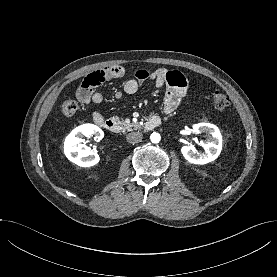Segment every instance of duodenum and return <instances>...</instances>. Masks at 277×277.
Segmentation results:
<instances>
[{"mask_svg": "<svg viewBox=\"0 0 277 277\" xmlns=\"http://www.w3.org/2000/svg\"><path fill=\"white\" fill-rule=\"evenodd\" d=\"M95 123L99 127L103 128L109 132L116 133L118 131V125L112 119L101 118ZM160 124H161V119L158 116H152L146 121L144 127L146 130H152V129L158 127Z\"/></svg>", "mask_w": 277, "mask_h": 277, "instance_id": "obj_1", "label": "duodenum"}]
</instances>
